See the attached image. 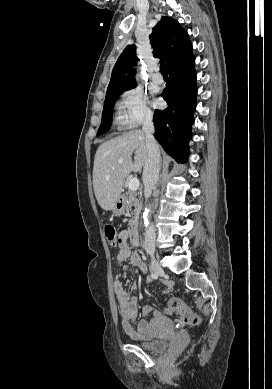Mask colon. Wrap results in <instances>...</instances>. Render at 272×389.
I'll use <instances>...</instances> for the list:
<instances>
[{
	"instance_id": "1",
	"label": "colon",
	"mask_w": 272,
	"mask_h": 389,
	"mask_svg": "<svg viewBox=\"0 0 272 389\" xmlns=\"http://www.w3.org/2000/svg\"><path fill=\"white\" fill-rule=\"evenodd\" d=\"M104 234L111 246H116L118 244L117 232L111 224H106L104 226ZM168 311L176 314L181 322L186 325L196 326L200 324V317L179 297H171L168 300Z\"/></svg>"
}]
</instances>
